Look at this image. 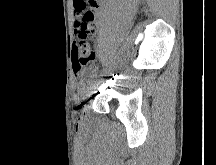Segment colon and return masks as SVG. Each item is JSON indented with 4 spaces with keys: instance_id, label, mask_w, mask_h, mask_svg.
<instances>
[{
    "instance_id": "1",
    "label": "colon",
    "mask_w": 216,
    "mask_h": 165,
    "mask_svg": "<svg viewBox=\"0 0 216 165\" xmlns=\"http://www.w3.org/2000/svg\"><path fill=\"white\" fill-rule=\"evenodd\" d=\"M92 19V13H85L82 22L75 30L78 43L74 49V69L80 72L95 61V53L90 49L88 39L93 32L89 29L88 23Z\"/></svg>"
}]
</instances>
